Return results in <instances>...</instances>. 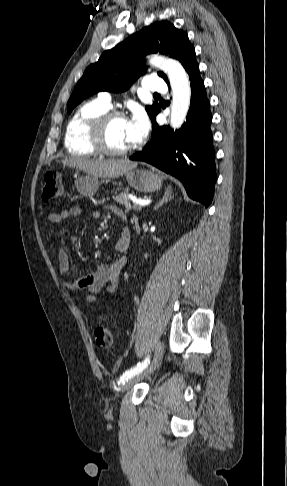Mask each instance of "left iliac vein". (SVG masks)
Returning <instances> with one entry per match:
<instances>
[{"instance_id": "left-iliac-vein-1", "label": "left iliac vein", "mask_w": 287, "mask_h": 486, "mask_svg": "<svg viewBox=\"0 0 287 486\" xmlns=\"http://www.w3.org/2000/svg\"><path fill=\"white\" fill-rule=\"evenodd\" d=\"M161 357H162V344L161 342H158L155 346V354L150 366L141 374L127 380L122 388V393H125L132 387L133 384L141 381L142 379H144L145 377L153 373L154 370L158 367Z\"/></svg>"}]
</instances>
